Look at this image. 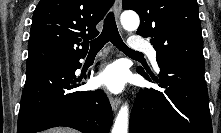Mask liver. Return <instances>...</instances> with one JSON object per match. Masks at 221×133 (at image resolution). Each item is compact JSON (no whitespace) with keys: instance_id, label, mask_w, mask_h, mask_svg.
<instances>
[{"instance_id":"liver-1","label":"liver","mask_w":221,"mask_h":133,"mask_svg":"<svg viewBox=\"0 0 221 133\" xmlns=\"http://www.w3.org/2000/svg\"><path fill=\"white\" fill-rule=\"evenodd\" d=\"M47 133H77L75 130L67 128H54L47 131Z\"/></svg>"}]
</instances>
